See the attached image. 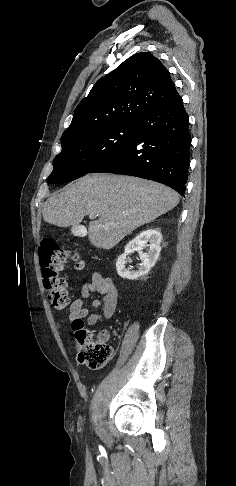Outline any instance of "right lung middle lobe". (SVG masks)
Returning <instances> with one entry per match:
<instances>
[{"label":"right lung middle lobe","instance_id":"obj_1","mask_svg":"<svg viewBox=\"0 0 236 486\" xmlns=\"http://www.w3.org/2000/svg\"><path fill=\"white\" fill-rule=\"evenodd\" d=\"M136 123L91 130L61 141L62 151L54 159L48 183L62 184L78 179L130 143Z\"/></svg>","mask_w":236,"mask_h":486}]
</instances>
